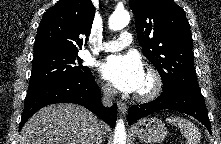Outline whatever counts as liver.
Returning a JSON list of instances; mask_svg holds the SVG:
<instances>
[{"mask_svg":"<svg viewBox=\"0 0 221 144\" xmlns=\"http://www.w3.org/2000/svg\"><path fill=\"white\" fill-rule=\"evenodd\" d=\"M99 125L89 110L75 104L48 105L34 114L23 126L19 144H91ZM102 131L106 125H99Z\"/></svg>","mask_w":221,"mask_h":144,"instance_id":"6515ba94","label":"liver"}]
</instances>
